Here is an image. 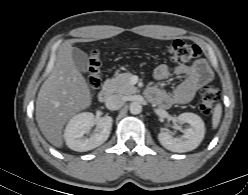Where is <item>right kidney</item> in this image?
I'll list each match as a JSON object with an SVG mask.
<instances>
[{
  "instance_id": "right-kidney-1",
  "label": "right kidney",
  "mask_w": 248,
  "mask_h": 195,
  "mask_svg": "<svg viewBox=\"0 0 248 195\" xmlns=\"http://www.w3.org/2000/svg\"><path fill=\"white\" fill-rule=\"evenodd\" d=\"M113 119L110 116L95 118L93 113L83 112L73 116L64 132L66 145L78 152H85L102 145L109 137ZM96 125L97 132L91 137H84Z\"/></svg>"
}]
</instances>
